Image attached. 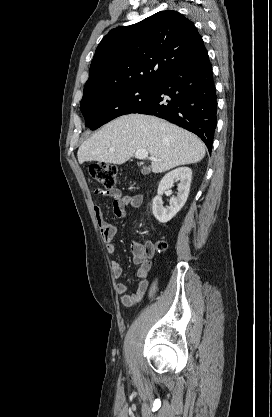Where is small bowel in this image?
<instances>
[{
    "label": "small bowel",
    "mask_w": 272,
    "mask_h": 417,
    "mask_svg": "<svg viewBox=\"0 0 272 417\" xmlns=\"http://www.w3.org/2000/svg\"><path fill=\"white\" fill-rule=\"evenodd\" d=\"M94 193L113 198V212L118 218L125 217L127 208H139L143 202L142 195H125L115 187L106 189L97 188ZM93 209L107 252L110 255H114L117 251V244L114 241V237L118 228L104 219L102 209L96 203H94ZM131 252L133 263L139 266L137 272L138 284L133 292H130L128 286L122 282H116L114 287L120 296L119 300L121 304L125 307L133 306L141 301L148 289V277L152 268L151 259L154 255V248L151 243L143 245L140 242L134 241L131 245ZM111 268L115 279L118 280L123 276V269L119 262L112 261Z\"/></svg>",
    "instance_id": "small-bowel-1"
}]
</instances>
